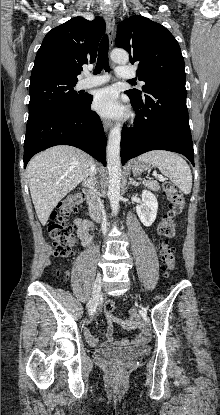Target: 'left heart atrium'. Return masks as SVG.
<instances>
[{
	"mask_svg": "<svg viewBox=\"0 0 220 415\" xmlns=\"http://www.w3.org/2000/svg\"><path fill=\"white\" fill-rule=\"evenodd\" d=\"M94 109L104 117H114L123 112L118 100V93L113 87L101 89L95 93Z\"/></svg>",
	"mask_w": 220,
	"mask_h": 415,
	"instance_id": "obj_1",
	"label": "left heart atrium"
}]
</instances>
